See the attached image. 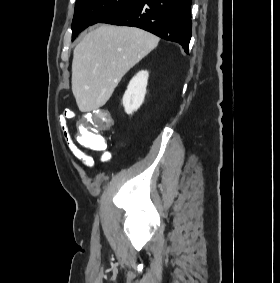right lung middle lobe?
I'll return each instance as SVG.
<instances>
[{
	"label": "right lung middle lobe",
	"mask_w": 280,
	"mask_h": 283,
	"mask_svg": "<svg viewBox=\"0 0 280 283\" xmlns=\"http://www.w3.org/2000/svg\"><path fill=\"white\" fill-rule=\"evenodd\" d=\"M133 0H76L72 22V40L85 28L101 22Z\"/></svg>",
	"instance_id": "right-lung-middle-lobe-1"
}]
</instances>
